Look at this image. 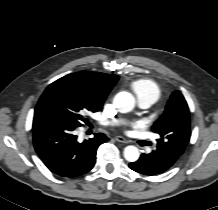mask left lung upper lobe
<instances>
[{
	"mask_svg": "<svg viewBox=\"0 0 218 210\" xmlns=\"http://www.w3.org/2000/svg\"><path fill=\"white\" fill-rule=\"evenodd\" d=\"M152 131L158 133L157 148L166 156H181L189 143L190 113L187 102L180 91H174L164 113L153 124Z\"/></svg>",
	"mask_w": 218,
	"mask_h": 210,
	"instance_id": "5c2ea615",
	"label": "left lung upper lobe"
}]
</instances>
